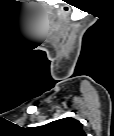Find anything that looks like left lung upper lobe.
Here are the masks:
<instances>
[{
  "instance_id": "5c2ea615",
  "label": "left lung upper lobe",
  "mask_w": 114,
  "mask_h": 136,
  "mask_svg": "<svg viewBox=\"0 0 114 136\" xmlns=\"http://www.w3.org/2000/svg\"><path fill=\"white\" fill-rule=\"evenodd\" d=\"M34 131L39 136H84L82 124L72 117L36 127Z\"/></svg>"
}]
</instances>
